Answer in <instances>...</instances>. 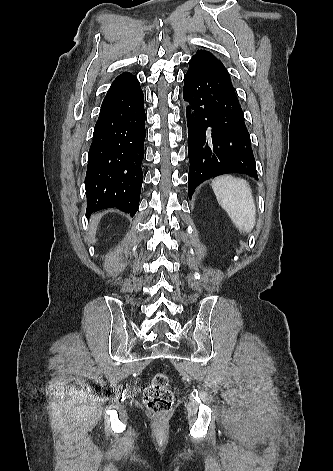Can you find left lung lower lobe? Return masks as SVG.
Here are the masks:
<instances>
[{"instance_id": "0a47b994", "label": "left lung lower lobe", "mask_w": 333, "mask_h": 471, "mask_svg": "<svg viewBox=\"0 0 333 471\" xmlns=\"http://www.w3.org/2000/svg\"><path fill=\"white\" fill-rule=\"evenodd\" d=\"M184 100L194 109L188 122V193L202 181L238 172L258 179L250 134L226 68L213 55L197 51L184 76Z\"/></svg>"}]
</instances>
